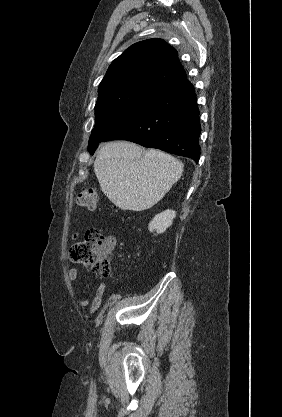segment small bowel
I'll use <instances>...</instances> for the list:
<instances>
[{"label":"small bowel","instance_id":"1","mask_svg":"<svg viewBox=\"0 0 282 417\" xmlns=\"http://www.w3.org/2000/svg\"><path fill=\"white\" fill-rule=\"evenodd\" d=\"M78 237H79V232L78 231H75L71 235V239L72 240H75ZM106 241H107V244H108L109 249L114 248V246L116 244L115 238L108 237ZM79 274H80V272H79L78 269L71 268L68 271V278L71 281H75L79 277ZM106 288H107L106 283H104V282L100 283L98 285V287L96 289V293H95V295H94V297L92 299H90L89 297H79L78 298V304H79V306H81V307H87V306H89V312H90V314H94L99 309V307L102 304V298H103V295H104V293L106 291Z\"/></svg>","mask_w":282,"mask_h":417}]
</instances>
